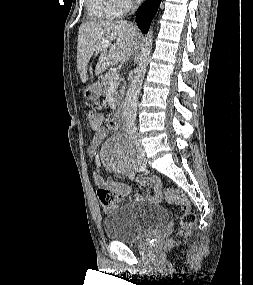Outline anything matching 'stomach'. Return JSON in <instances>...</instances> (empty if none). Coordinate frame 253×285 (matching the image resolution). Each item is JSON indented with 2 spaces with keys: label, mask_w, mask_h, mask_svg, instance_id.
Here are the masks:
<instances>
[{
  "label": "stomach",
  "mask_w": 253,
  "mask_h": 285,
  "mask_svg": "<svg viewBox=\"0 0 253 285\" xmlns=\"http://www.w3.org/2000/svg\"><path fill=\"white\" fill-rule=\"evenodd\" d=\"M102 88L99 83H94L88 86L84 91V96L88 100H96L101 96Z\"/></svg>",
  "instance_id": "1"
}]
</instances>
